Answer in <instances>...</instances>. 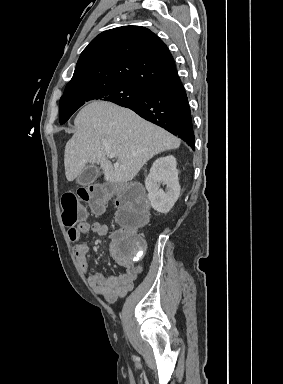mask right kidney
<instances>
[{
  "label": "right kidney",
  "instance_id": "1",
  "mask_svg": "<svg viewBox=\"0 0 283 384\" xmlns=\"http://www.w3.org/2000/svg\"><path fill=\"white\" fill-rule=\"evenodd\" d=\"M177 162L174 156L159 158L154 162L149 176L145 180L148 200L156 212L168 214L180 196ZM160 184L167 186L166 192L160 190Z\"/></svg>",
  "mask_w": 283,
  "mask_h": 384
}]
</instances>
